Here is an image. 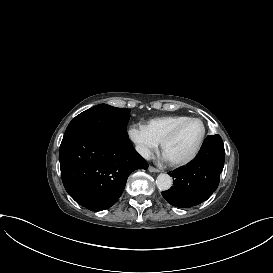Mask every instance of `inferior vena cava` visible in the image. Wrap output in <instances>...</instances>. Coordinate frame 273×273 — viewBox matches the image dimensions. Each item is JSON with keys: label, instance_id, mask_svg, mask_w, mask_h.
<instances>
[{"label": "inferior vena cava", "instance_id": "602c4592", "mask_svg": "<svg viewBox=\"0 0 273 273\" xmlns=\"http://www.w3.org/2000/svg\"><path fill=\"white\" fill-rule=\"evenodd\" d=\"M135 149H136V151H137L138 153H140L145 159H148V160L151 159L150 152H149V150H148L147 148H145V147H143V146H141V145H137V146L135 147Z\"/></svg>", "mask_w": 273, "mask_h": 273}]
</instances>
